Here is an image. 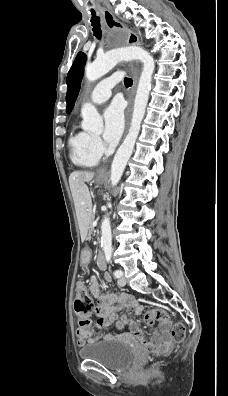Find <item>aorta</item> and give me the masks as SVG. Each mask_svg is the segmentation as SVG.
Here are the masks:
<instances>
[{
	"mask_svg": "<svg viewBox=\"0 0 228 396\" xmlns=\"http://www.w3.org/2000/svg\"><path fill=\"white\" fill-rule=\"evenodd\" d=\"M130 60L141 61L143 63V70L136 91L133 114L128 134L121 146L118 148L111 165L110 180L112 186H116L121 179L139 135L151 90L155 62L149 52L143 48L137 46H126L108 51L103 56L98 57L94 62L87 64L85 67V77L87 81L93 82L104 76L120 61ZM81 115L83 118V130L93 133L102 132L103 119L92 104H84L81 110ZM101 247L105 252L110 251L112 247L111 226L110 220L107 216L104 217L101 224Z\"/></svg>",
	"mask_w": 228,
	"mask_h": 396,
	"instance_id": "1",
	"label": "aorta"
}]
</instances>
